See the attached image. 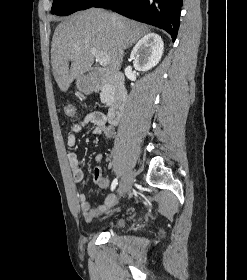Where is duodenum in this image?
I'll return each instance as SVG.
<instances>
[{
  "mask_svg": "<svg viewBox=\"0 0 247 280\" xmlns=\"http://www.w3.org/2000/svg\"><path fill=\"white\" fill-rule=\"evenodd\" d=\"M106 85L110 86V108L107 117L109 122L115 125L119 122L127 101L123 77L120 74H110L98 68L89 70L85 83L87 90L98 91Z\"/></svg>",
  "mask_w": 247,
  "mask_h": 280,
  "instance_id": "duodenum-1",
  "label": "duodenum"
}]
</instances>
